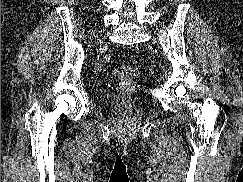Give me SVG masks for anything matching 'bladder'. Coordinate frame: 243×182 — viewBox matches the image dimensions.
<instances>
[{
    "mask_svg": "<svg viewBox=\"0 0 243 182\" xmlns=\"http://www.w3.org/2000/svg\"><path fill=\"white\" fill-rule=\"evenodd\" d=\"M101 101L105 104H110V103H117L121 104L124 107L131 109L135 107L136 103L134 101H129L121 97L117 96H110V95H101Z\"/></svg>",
    "mask_w": 243,
    "mask_h": 182,
    "instance_id": "31cf9c89",
    "label": "bladder"
}]
</instances>
